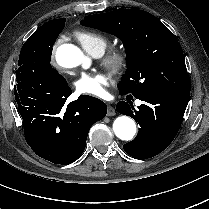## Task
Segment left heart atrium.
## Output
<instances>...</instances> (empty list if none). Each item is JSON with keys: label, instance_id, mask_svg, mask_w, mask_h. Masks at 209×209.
<instances>
[{"label": "left heart atrium", "instance_id": "39dd6f15", "mask_svg": "<svg viewBox=\"0 0 209 209\" xmlns=\"http://www.w3.org/2000/svg\"><path fill=\"white\" fill-rule=\"evenodd\" d=\"M107 79L100 74L83 73L76 81L75 88L80 95H87L96 98L106 96L104 86Z\"/></svg>", "mask_w": 209, "mask_h": 209}]
</instances>
